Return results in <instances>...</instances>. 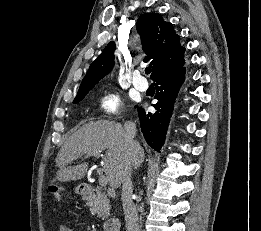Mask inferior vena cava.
Segmentation results:
<instances>
[{
	"label": "inferior vena cava",
	"instance_id": "obj_1",
	"mask_svg": "<svg viewBox=\"0 0 261 231\" xmlns=\"http://www.w3.org/2000/svg\"><path fill=\"white\" fill-rule=\"evenodd\" d=\"M136 134V125L133 122L127 121L124 124V139L129 147L131 160L136 162L139 160L143 153L142 148L137 141L134 140ZM132 181L131 169L127 168L122 176V204L125 218L128 224L129 231H140L138 214L135 204L132 200Z\"/></svg>",
	"mask_w": 261,
	"mask_h": 231
}]
</instances>
